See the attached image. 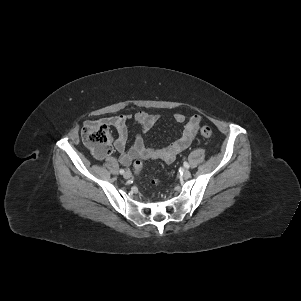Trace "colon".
Returning a JSON list of instances; mask_svg holds the SVG:
<instances>
[{
	"label": "colon",
	"instance_id": "colon-1",
	"mask_svg": "<svg viewBox=\"0 0 301 301\" xmlns=\"http://www.w3.org/2000/svg\"><path fill=\"white\" fill-rule=\"evenodd\" d=\"M199 132L205 138L212 136V129L206 125L200 127ZM81 135L83 142L91 149L93 155L97 158L105 157L111 153V133L106 123L89 121L85 123ZM142 167V160L135 161L134 169L136 173H139Z\"/></svg>",
	"mask_w": 301,
	"mask_h": 301
}]
</instances>
